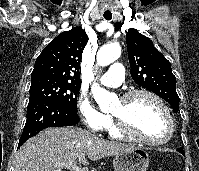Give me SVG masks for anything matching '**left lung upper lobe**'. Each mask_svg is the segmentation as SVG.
<instances>
[{
	"instance_id": "1",
	"label": "left lung upper lobe",
	"mask_w": 199,
	"mask_h": 171,
	"mask_svg": "<svg viewBox=\"0 0 199 171\" xmlns=\"http://www.w3.org/2000/svg\"><path fill=\"white\" fill-rule=\"evenodd\" d=\"M126 41L133 80L163 98L174 112H178L176 77L172 73L170 62L154 47L150 39L135 29L127 32Z\"/></svg>"
}]
</instances>
